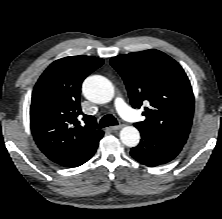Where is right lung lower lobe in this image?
Returning a JSON list of instances; mask_svg holds the SVG:
<instances>
[{"label":"right lung lower lobe","instance_id":"1","mask_svg":"<svg viewBox=\"0 0 222 219\" xmlns=\"http://www.w3.org/2000/svg\"><path fill=\"white\" fill-rule=\"evenodd\" d=\"M103 134H104V133H103ZM102 136H103V135H102ZM101 138H102V137H101ZM101 138H100V139H101ZM98 142H99V141H98ZM98 142H97V144L90 150V152L84 157V159H83L80 163H78L75 167L84 164L86 161H88V160L94 155V153L96 152V149H97V147H98Z\"/></svg>","mask_w":222,"mask_h":219}]
</instances>
